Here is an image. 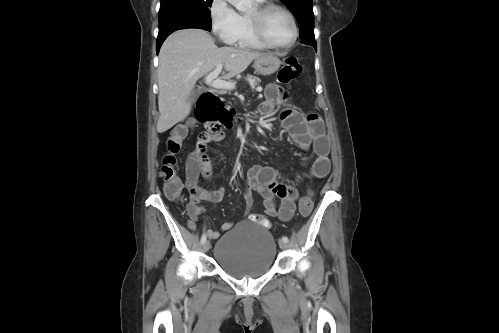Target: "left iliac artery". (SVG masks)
Returning a JSON list of instances; mask_svg holds the SVG:
<instances>
[{
    "instance_id": "left-iliac-artery-1",
    "label": "left iliac artery",
    "mask_w": 499,
    "mask_h": 333,
    "mask_svg": "<svg viewBox=\"0 0 499 333\" xmlns=\"http://www.w3.org/2000/svg\"><path fill=\"white\" fill-rule=\"evenodd\" d=\"M282 240L285 241L286 243L288 242V237L287 236H283L282 237Z\"/></svg>"
}]
</instances>
